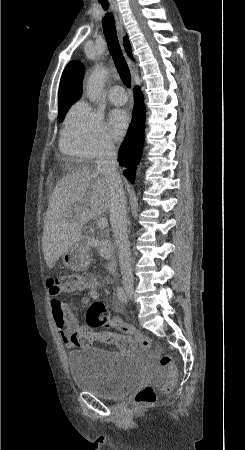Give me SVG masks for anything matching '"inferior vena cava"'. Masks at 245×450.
<instances>
[{"instance_id":"inferior-vena-cava-1","label":"inferior vena cava","mask_w":245,"mask_h":450,"mask_svg":"<svg viewBox=\"0 0 245 450\" xmlns=\"http://www.w3.org/2000/svg\"><path fill=\"white\" fill-rule=\"evenodd\" d=\"M97 171L102 173L111 192L110 222L119 249L123 284H133L130 245L127 235L126 197L117 172V153L111 141H105L96 158Z\"/></svg>"}]
</instances>
